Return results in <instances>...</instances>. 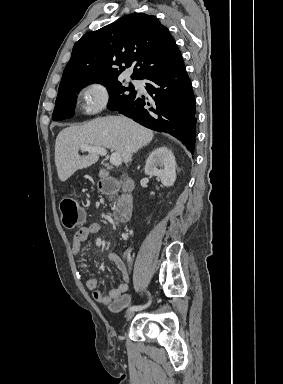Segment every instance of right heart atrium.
<instances>
[{
	"mask_svg": "<svg viewBox=\"0 0 283 384\" xmlns=\"http://www.w3.org/2000/svg\"><path fill=\"white\" fill-rule=\"evenodd\" d=\"M79 108L83 115L94 116L103 111L111 96L109 85L101 80H89L79 90Z\"/></svg>",
	"mask_w": 283,
	"mask_h": 384,
	"instance_id": "right-heart-atrium-1",
	"label": "right heart atrium"
}]
</instances>
